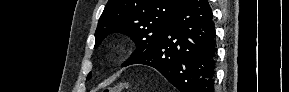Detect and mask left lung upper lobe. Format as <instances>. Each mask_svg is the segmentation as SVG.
<instances>
[{"label":"left lung upper lobe","mask_w":289,"mask_h":92,"mask_svg":"<svg viewBox=\"0 0 289 92\" xmlns=\"http://www.w3.org/2000/svg\"><path fill=\"white\" fill-rule=\"evenodd\" d=\"M186 0H109L95 32V47L110 33H123L136 43V50L123 64L150 53ZM91 73L88 75L90 78Z\"/></svg>","instance_id":"1"}]
</instances>
